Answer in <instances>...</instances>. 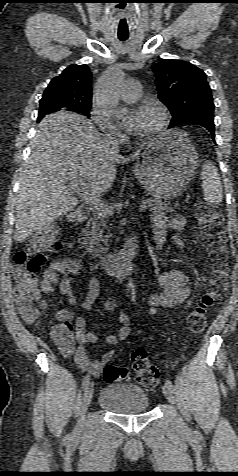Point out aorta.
Masks as SVG:
<instances>
[{
  "label": "aorta",
  "mask_w": 238,
  "mask_h": 476,
  "mask_svg": "<svg viewBox=\"0 0 238 476\" xmlns=\"http://www.w3.org/2000/svg\"><path fill=\"white\" fill-rule=\"evenodd\" d=\"M123 81V72L119 68L109 70L96 90V102L102 112L110 116H122L127 109L119 105L120 87ZM134 287L129 278L127 291Z\"/></svg>",
  "instance_id": "762f6f07"
}]
</instances>
